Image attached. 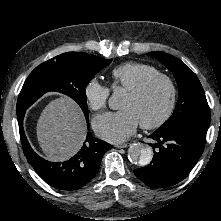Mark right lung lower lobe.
<instances>
[{
  "instance_id": "1",
  "label": "right lung lower lobe",
  "mask_w": 221,
  "mask_h": 221,
  "mask_svg": "<svg viewBox=\"0 0 221 221\" xmlns=\"http://www.w3.org/2000/svg\"><path fill=\"white\" fill-rule=\"evenodd\" d=\"M25 111L18 116V124L24 154L39 174L50 186L65 191L78 190L89 183L97 173L101 159L112 148L109 143L87 134L81 150L65 162H49L39 157L31 148L23 129ZM87 126L89 127V121Z\"/></svg>"
}]
</instances>
